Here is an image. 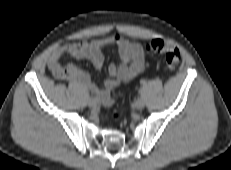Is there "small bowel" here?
Wrapping results in <instances>:
<instances>
[{
    "mask_svg": "<svg viewBox=\"0 0 231 170\" xmlns=\"http://www.w3.org/2000/svg\"><path fill=\"white\" fill-rule=\"evenodd\" d=\"M109 46L118 48L121 61L119 64L109 65L108 77L103 80L102 86L94 83L87 72L76 67L69 77L71 81L85 86L104 105H110L112 103L111 91L120 84L130 82L147 66L140 43L129 41L119 35H110L92 41L81 40L65 44L52 52L48 59V67L54 70L61 66V58L68 54L76 59L88 60L96 69H100L104 64L102 49Z\"/></svg>",
    "mask_w": 231,
    "mask_h": 170,
    "instance_id": "1",
    "label": "small bowel"
}]
</instances>
